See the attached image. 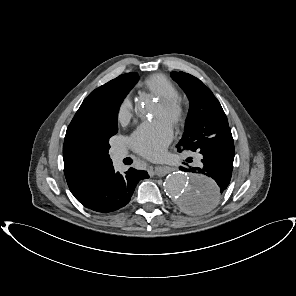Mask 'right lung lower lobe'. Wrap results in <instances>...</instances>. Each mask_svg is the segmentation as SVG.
<instances>
[{"label": "right lung lower lobe", "mask_w": 296, "mask_h": 296, "mask_svg": "<svg viewBox=\"0 0 296 296\" xmlns=\"http://www.w3.org/2000/svg\"><path fill=\"white\" fill-rule=\"evenodd\" d=\"M146 178H149L146 171L130 168L125 175H121L111 168L94 179L75 198L95 212H114L129 203L138 181Z\"/></svg>", "instance_id": "1"}]
</instances>
